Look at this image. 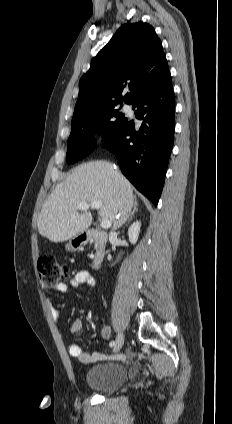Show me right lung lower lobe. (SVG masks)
I'll list each match as a JSON object with an SVG mask.
<instances>
[{"mask_svg": "<svg viewBox=\"0 0 232 424\" xmlns=\"http://www.w3.org/2000/svg\"><path fill=\"white\" fill-rule=\"evenodd\" d=\"M138 132L127 122L103 147L116 155L122 173L157 206L173 146L175 99L168 71L160 82L133 103ZM129 136V138H128Z\"/></svg>", "mask_w": 232, "mask_h": 424, "instance_id": "98d812e1", "label": "right lung lower lobe"}]
</instances>
